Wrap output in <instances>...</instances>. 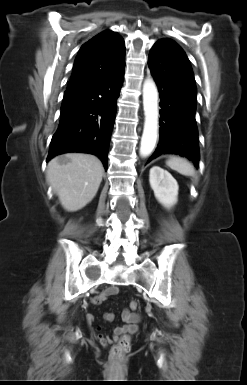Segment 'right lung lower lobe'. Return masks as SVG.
Segmentation results:
<instances>
[{"label":"right lung lower lobe","instance_id":"right-lung-lower-lobe-1","mask_svg":"<svg viewBox=\"0 0 247 385\" xmlns=\"http://www.w3.org/2000/svg\"><path fill=\"white\" fill-rule=\"evenodd\" d=\"M124 70L125 66L109 76L64 93L61 118L51 140L47 161L66 152H84L98 156L107 169L116 101Z\"/></svg>","mask_w":247,"mask_h":385}]
</instances>
